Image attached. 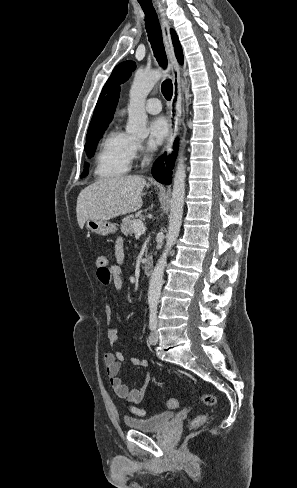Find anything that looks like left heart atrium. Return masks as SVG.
<instances>
[{
	"mask_svg": "<svg viewBox=\"0 0 297 488\" xmlns=\"http://www.w3.org/2000/svg\"><path fill=\"white\" fill-rule=\"evenodd\" d=\"M170 128L165 117L159 116L149 123V142L152 146L162 144L169 136Z\"/></svg>",
	"mask_w": 297,
	"mask_h": 488,
	"instance_id": "left-heart-atrium-1",
	"label": "left heart atrium"
}]
</instances>
